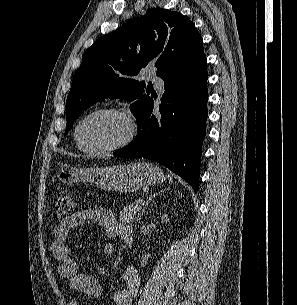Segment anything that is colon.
Wrapping results in <instances>:
<instances>
[{
    "instance_id": "obj_1",
    "label": "colon",
    "mask_w": 297,
    "mask_h": 305,
    "mask_svg": "<svg viewBox=\"0 0 297 305\" xmlns=\"http://www.w3.org/2000/svg\"><path fill=\"white\" fill-rule=\"evenodd\" d=\"M77 209V203L67 192L60 193L53 208V217L56 220L70 217Z\"/></svg>"
}]
</instances>
